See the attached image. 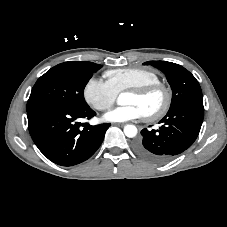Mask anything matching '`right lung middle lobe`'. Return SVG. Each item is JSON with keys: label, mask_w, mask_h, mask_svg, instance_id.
I'll use <instances>...</instances> for the list:
<instances>
[{"label": "right lung middle lobe", "mask_w": 227, "mask_h": 227, "mask_svg": "<svg viewBox=\"0 0 227 227\" xmlns=\"http://www.w3.org/2000/svg\"><path fill=\"white\" fill-rule=\"evenodd\" d=\"M99 68V64L82 61H68L56 65L35 83L27 102V110L42 104L87 107L83 91Z\"/></svg>", "instance_id": "right-lung-middle-lobe-1"}]
</instances>
